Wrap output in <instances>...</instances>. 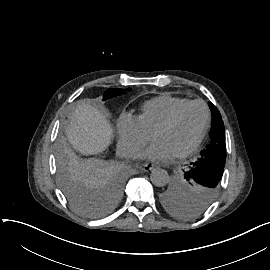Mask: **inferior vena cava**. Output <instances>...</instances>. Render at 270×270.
<instances>
[{"mask_svg": "<svg viewBox=\"0 0 270 270\" xmlns=\"http://www.w3.org/2000/svg\"><path fill=\"white\" fill-rule=\"evenodd\" d=\"M116 153L122 157H133L135 154L128 145L120 141L117 143Z\"/></svg>", "mask_w": 270, "mask_h": 270, "instance_id": "inferior-vena-cava-1", "label": "inferior vena cava"}]
</instances>
